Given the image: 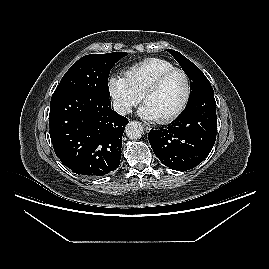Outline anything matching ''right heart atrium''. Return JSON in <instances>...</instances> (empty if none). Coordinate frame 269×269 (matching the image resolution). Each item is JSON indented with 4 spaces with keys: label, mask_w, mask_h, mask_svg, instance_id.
Here are the masks:
<instances>
[{
    "label": "right heart atrium",
    "mask_w": 269,
    "mask_h": 269,
    "mask_svg": "<svg viewBox=\"0 0 269 269\" xmlns=\"http://www.w3.org/2000/svg\"><path fill=\"white\" fill-rule=\"evenodd\" d=\"M107 88L114 109L121 115L129 113L140 101V95L132 90L126 78L121 75L110 76Z\"/></svg>",
    "instance_id": "right-heart-atrium-1"
}]
</instances>
